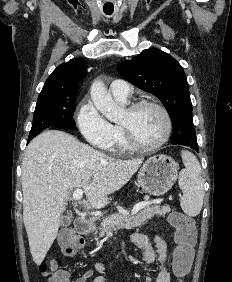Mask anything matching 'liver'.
Returning a JSON list of instances; mask_svg holds the SVG:
<instances>
[{
	"label": "liver",
	"mask_w": 232,
	"mask_h": 282,
	"mask_svg": "<svg viewBox=\"0 0 232 282\" xmlns=\"http://www.w3.org/2000/svg\"><path fill=\"white\" fill-rule=\"evenodd\" d=\"M143 163L105 155L60 130H48L27 146L22 162L23 221L33 261L40 265L57 237L70 191L95 208L109 203Z\"/></svg>",
	"instance_id": "6515ba94"
}]
</instances>
